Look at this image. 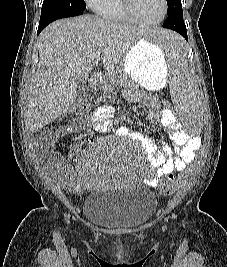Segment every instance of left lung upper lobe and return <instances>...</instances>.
<instances>
[{
	"label": "left lung upper lobe",
	"instance_id": "left-lung-upper-lobe-1",
	"mask_svg": "<svg viewBox=\"0 0 227 267\" xmlns=\"http://www.w3.org/2000/svg\"><path fill=\"white\" fill-rule=\"evenodd\" d=\"M167 4H168V15L182 10V4H181V0H167Z\"/></svg>",
	"mask_w": 227,
	"mask_h": 267
}]
</instances>
